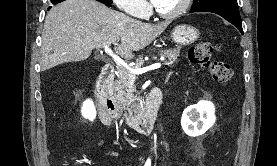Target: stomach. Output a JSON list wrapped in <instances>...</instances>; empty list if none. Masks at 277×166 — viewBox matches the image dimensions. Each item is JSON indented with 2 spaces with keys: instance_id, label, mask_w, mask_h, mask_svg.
<instances>
[{
  "instance_id": "1",
  "label": "stomach",
  "mask_w": 277,
  "mask_h": 166,
  "mask_svg": "<svg viewBox=\"0 0 277 166\" xmlns=\"http://www.w3.org/2000/svg\"><path fill=\"white\" fill-rule=\"evenodd\" d=\"M171 37L178 45H191L199 38V31L191 25L181 24L173 29Z\"/></svg>"
}]
</instances>
